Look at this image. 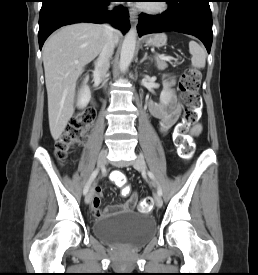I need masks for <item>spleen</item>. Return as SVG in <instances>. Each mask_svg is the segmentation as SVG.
Instances as JSON below:
<instances>
[{
  "label": "spleen",
  "mask_w": 258,
  "mask_h": 275,
  "mask_svg": "<svg viewBox=\"0 0 258 275\" xmlns=\"http://www.w3.org/2000/svg\"><path fill=\"white\" fill-rule=\"evenodd\" d=\"M189 52L192 55V65L197 68H204L206 64V54L203 48L197 42L190 41Z\"/></svg>",
  "instance_id": "1"
}]
</instances>
